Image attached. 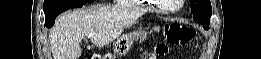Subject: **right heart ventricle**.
<instances>
[{"label": "right heart ventricle", "mask_w": 261, "mask_h": 59, "mask_svg": "<svg viewBox=\"0 0 261 59\" xmlns=\"http://www.w3.org/2000/svg\"><path fill=\"white\" fill-rule=\"evenodd\" d=\"M126 2H136V1H131V0H126ZM145 9H147V10H151V9H153V7H145Z\"/></svg>", "instance_id": "e07e8e85"}]
</instances>
